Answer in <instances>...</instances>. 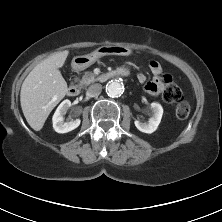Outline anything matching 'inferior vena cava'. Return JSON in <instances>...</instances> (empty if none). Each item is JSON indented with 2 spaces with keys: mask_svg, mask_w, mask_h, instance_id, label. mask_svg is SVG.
<instances>
[{
  "mask_svg": "<svg viewBox=\"0 0 222 222\" xmlns=\"http://www.w3.org/2000/svg\"><path fill=\"white\" fill-rule=\"evenodd\" d=\"M102 91L101 84H93L87 89V95L90 97H97Z\"/></svg>",
  "mask_w": 222,
  "mask_h": 222,
  "instance_id": "obj_1",
  "label": "inferior vena cava"
}]
</instances>
